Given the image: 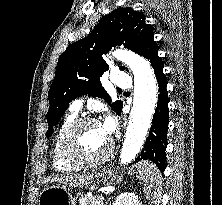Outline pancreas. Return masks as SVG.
Here are the masks:
<instances>
[{
    "label": "pancreas",
    "instance_id": "pancreas-1",
    "mask_svg": "<svg viewBox=\"0 0 222 205\" xmlns=\"http://www.w3.org/2000/svg\"><path fill=\"white\" fill-rule=\"evenodd\" d=\"M79 205H103V198L101 196H81Z\"/></svg>",
    "mask_w": 222,
    "mask_h": 205
}]
</instances>
